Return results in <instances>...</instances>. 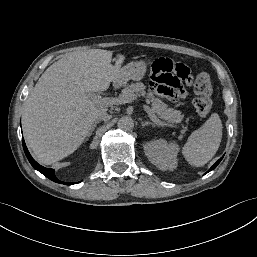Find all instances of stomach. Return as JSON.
I'll return each instance as SVG.
<instances>
[{
    "mask_svg": "<svg viewBox=\"0 0 257 257\" xmlns=\"http://www.w3.org/2000/svg\"><path fill=\"white\" fill-rule=\"evenodd\" d=\"M144 61L140 62H131L120 70V75L117 80V84L123 85L125 84L129 79L134 81L141 80L144 76L146 71L143 68Z\"/></svg>",
    "mask_w": 257,
    "mask_h": 257,
    "instance_id": "1",
    "label": "stomach"
}]
</instances>
